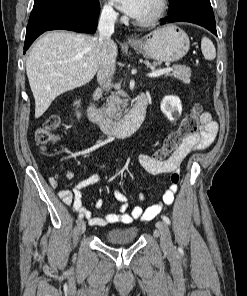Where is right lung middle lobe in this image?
I'll return each instance as SVG.
<instances>
[{"mask_svg":"<svg viewBox=\"0 0 247 296\" xmlns=\"http://www.w3.org/2000/svg\"><path fill=\"white\" fill-rule=\"evenodd\" d=\"M51 1H55V0H35L34 7L47 2H51ZM76 1L79 2V4L86 9H96L99 6L98 0H76Z\"/></svg>","mask_w":247,"mask_h":296,"instance_id":"right-lung-middle-lobe-1","label":"right lung middle lobe"}]
</instances>
